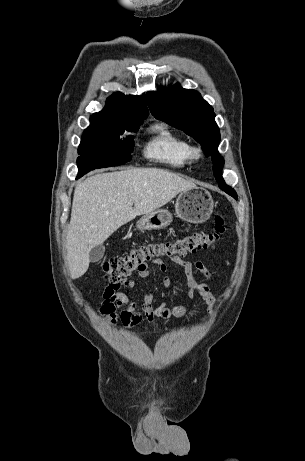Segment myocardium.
Here are the masks:
<instances>
[{
    "mask_svg": "<svg viewBox=\"0 0 305 461\" xmlns=\"http://www.w3.org/2000/svg\"><path fill=\"white\" fill-rule=\"evenodd\" d=\"M191 152H192V156L194 158H199L202 154V150L200 147H197V146H192L191 147Z\"/></svg>",
    "mask_w": 305,
    "mask_h": 461,
    "instance_id": "myocardium-1",
    "label": "myocardium"
}]
</instances>
